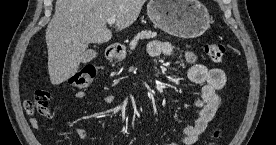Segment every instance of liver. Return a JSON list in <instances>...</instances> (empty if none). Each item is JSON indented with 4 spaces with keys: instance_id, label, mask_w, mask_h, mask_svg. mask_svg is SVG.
<instances>
[{
    "instance_id": "1",
    "label": "liver",
    "mask_w": 276,
    "mask_h": 145,
    "mask_svg": "<svg viewBox=\"0 0 276 145\" xmlns=\"http://www.w3.org/2000/svg\"><path fill=\"white\" fill-rule=\"evenodd\" d=\"M146 0H57L46 29L48 72L53 85L72 77L79 69L89 43L112 38L107 20L116 17V30L131 26Z\"/></svg>"
}]
</instances>
